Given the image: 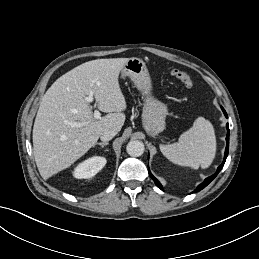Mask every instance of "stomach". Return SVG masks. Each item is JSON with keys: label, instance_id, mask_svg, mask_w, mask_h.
Instances as JSON below:
<instances>
[{"label": "stomach", "instance_id": "1", "mask_svg": "<svg viewBox=\"0 0 259 259\" xmlns=\"http://www.w3.org/2000/svg\"><path fill=\"white\" fill-rule=\"evenodd\" d=\"M122 77H129L143 97L142 121L145 130L155 136L165 129L167 106L152 95L148 69L139 58H130L122 69Z\"/></svg>", "mask_w": 259, "mask_h": 259}]
</instances>
